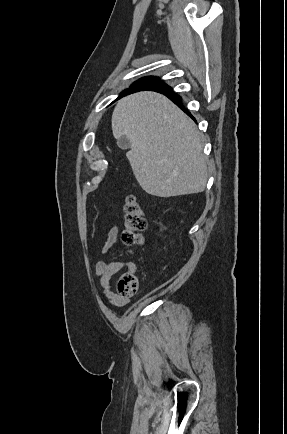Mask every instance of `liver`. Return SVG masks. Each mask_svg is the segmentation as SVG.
I'll list each match as a JSON object with an SVG mask.
<instances>
[{
  "mask_svg": "<svg viewBox=\"0 0 287 434\" xmlns=\"http://www.w3.org/2000/svg\"><path fill=\"white\" fill-rule=\"evenodd\" d=\"M115 138L126 136L127 158L141 188L158 197L203 192L207 165L194 122L167 97L140 92L118 101L112 114Z\"/></svg>",
  "mask_w": 287,
  "mask_h": 434,
  "instance_id": "1",
  "label": "liver"
}]
</instances>
